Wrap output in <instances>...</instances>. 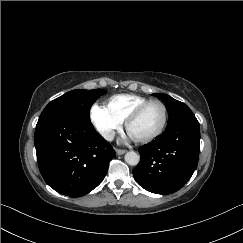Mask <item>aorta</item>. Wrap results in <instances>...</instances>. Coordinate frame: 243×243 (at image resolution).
<instances>
[{
	"label": "aorta",
	"instance_id": "obj_1",
	"mask_svg": "<svg viewBox=\"0 0 243 243\" xmlns=\"http://www.w3.org/2000/svg\"><path fill=\"white\" fill-rule=\"evenodd\" d=\"M124 159L127 164L136 166L140 161V156L134 151H129L125 154Z\"/></svg>",
	"mask_w": 243,
	"mask_h": 243
}]
</instances>
